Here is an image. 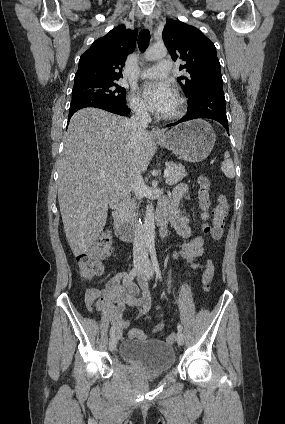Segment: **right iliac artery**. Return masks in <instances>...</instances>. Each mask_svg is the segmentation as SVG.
<instances>
[{"label":"right iliac artery","mask_w":285,"mask_h":424,"mask_svg":"<svg viewBox=\"0 0 285 424\" xmlns=\"http://www.w3.org/2000/svg\"><path fill=\"white\" fill-rule=\"evenodd\" d=\"M137 274V269L134 267L129 274L126 275L128 282L132 283L134 277ZM115 333V326L113 325L110 329V336L114 335Z\"/></svg>","instance_id":"obj_1"}]
</instances>
